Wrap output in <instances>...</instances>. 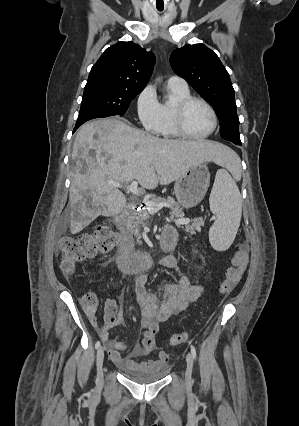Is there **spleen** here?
<instances>
[{"instance_id": "3e777b00", "label": "spleen", "mask_w": 299, "mask_h": 426, "mask_svg": "<svg viewBox=\"0 0 299 426\" xmlns=\"http://www.w3.org/2000/svg\"><path fill=\"white\" fill-rule=\"evenodd\" d=\"M209 202L216 216L209 230V240L215 250L225 251L235 239L242 215L239 189L226 169L217 171Z\"/></svg>"}]
</instances>
